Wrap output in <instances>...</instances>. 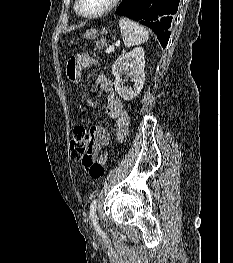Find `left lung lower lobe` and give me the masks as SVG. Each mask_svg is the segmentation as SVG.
Returning <instances> with one entry per match:
<instances>
[{
	"instance_id": "0a47b994",
	"label": "left lung lower lobe",
	"mask_w": 233,
	"mask_h": 263,
	"mask_svg": "<svg viewBox=\"0 0 233 263\" xmlns=\"http://www.w3.org/2000/svg\"><path fill=\"white\" fill-rule=\"evenodd\" d=\"M179 2L180 0H123L116 9V14L150 27L165 48L170 37L168 29Z\"/></svg>"
}]
</instances>
